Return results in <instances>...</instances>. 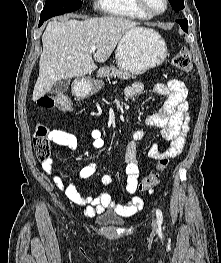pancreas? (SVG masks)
I'll use <instances>...</instances> for the list:
<instances>
[{
  "mask_svg": "<svg viewBox=\"0 0 221 263\" xmlns=\"http://www.w3.org/2000/svg\"><path fill=\"white\" fill-rule=\"evenodd\" d=\"M97 77L104 78V77H118L119 79H133L135 76L121 68H116L115 66H104L97 72Z\"/></svg>",
  "mask_w": 221,
  "mask_h": 263,
  "instance_id": "1",
  "label": "pancreas"
}]
</instances>
